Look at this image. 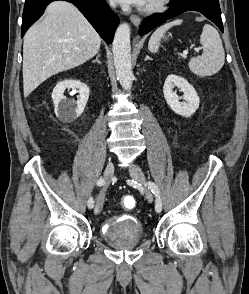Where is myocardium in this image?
<instances>
[{
  "label": "myocardium",
  "instance_id": "myocardium-1",
  "mask_svg": "<svg viewBox=\"0 0 249 294\" xmlns=\"http://www.w3.org/2000/svg\"><path fill=\"white\" fill-rule=\"evenodd\" d=\"M170 2V0H156L152 3H150L149 5H145L142 10L146 13H154V12H158L161 11L162 9H164L168 3Z\"/></svg>",
  "mask_w": 249,
  "mask_h": 294
}]
</instances>
